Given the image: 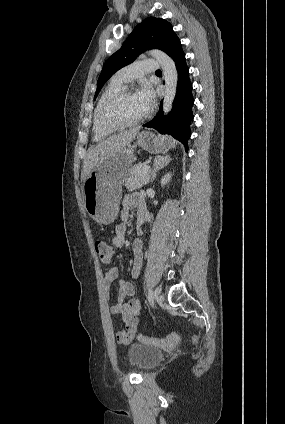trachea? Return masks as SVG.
Returning <instances> with one entry per match:
<instances>
[{"instance_id": "3493384b", "label": "trachea", "mask_w": 285, "mask_h": 424, "mask_svg": "<svg viewBox=\"0 0 285 424\" xmlns=\"http://www.w3.org/2000/svg\"><path fill=\"white\" fill-rule=\"evenodd\" d=\"M156 73H161V70H157Z\"/></svg>"}]
</instances>
